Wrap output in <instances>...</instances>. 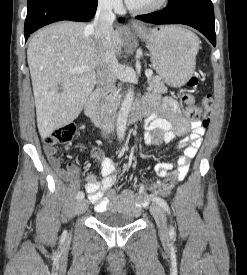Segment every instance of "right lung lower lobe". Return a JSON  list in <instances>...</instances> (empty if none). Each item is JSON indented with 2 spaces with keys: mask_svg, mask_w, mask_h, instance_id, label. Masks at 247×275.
Instances as JSON below:
<instances>
[{
  "mask_svg": "<svg viewBox=\"0 0 247 275\" xmlns=\"http://www.w3.org/2000/svg\"><path fill=\"white\" fill-rule=\"evenodd\" d=\"M97 0H31L25 20V41L37 29L61 20L87 22L96 12ZM124 22L123 18L119 19Z\"/></svg>",
  "mask_w": 247,
  "mask_h": 275,
  "instance_id": "1",
  "label": "right lung lower lobe"
}]
</instances>
